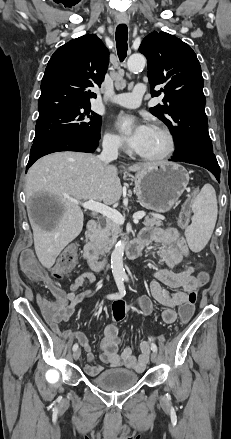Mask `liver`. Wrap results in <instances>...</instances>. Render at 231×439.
Here are the masks:
<instances>
[{"label": "liver", "mask_w": 231, "mask_h": 439, "mask_svg": "<svg viewBox=\"0 0 231 439\" xmlns=\"http://www.w3.org/2000/svg\"><path fill=\"white\" fill-rule=\"evenodd\" d=\"M156 164H135L128 170L139 172ZM25 192L35 252L40 263L50 269L83 228V212L71 200L93 199L111 205L120 199L122 186L116 165L105 164L93 154L67 151L36 161L27 173ZM37 193L52 199L55 206L49 215L34 219L31 199Z\"/></svg>", "instance_id": "6515ba94"}]
</instances>
